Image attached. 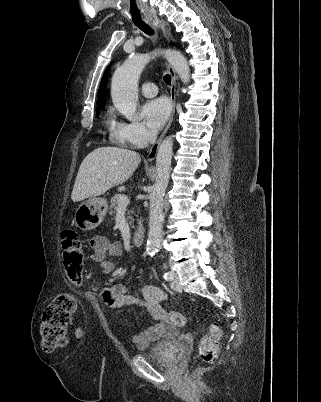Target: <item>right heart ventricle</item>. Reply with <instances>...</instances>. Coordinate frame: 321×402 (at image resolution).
I'll use <instances>...</instances> for the list:
<instances>
[{
    "label": "right heart ventricle",
    "mask_w": 321,
    "mask_h": 402,
    "mask_svg": "<svg viewBox=\"0 0 321 402\" xmlns=\"http://www.w3.org/2000/svg\"><path fill=\"white\" fill-rule=\"evenodd\" d=\"M108 124H109L110 129L113 131V133L117 137L116 131H117L118 127H119V123H116L115 120L113 119V117L110 116L108 118Z\"/></svg>",
    "instance_id": "obj_1"
}]
</instances>
